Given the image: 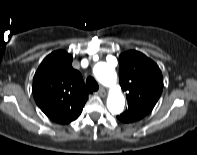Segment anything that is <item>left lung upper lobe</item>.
<instances>
[{
  "label": "left lung upper lobe",
  "mask_w": 197,
  "mask_h": 155,
  "mask_svg": "<svg viewBox=\"0 0 197 155\" xmlns=\"http://www.w3.org/2000/svg\"><path fill=\"white\" fill-rule=\"evenodd\" d=\"M119 82L127 93L128 108L118 119L126 123L150 113L163 89V77L157 64L134 50L119 56Z\"/></svg>",
  "instance_id": "1"
}]
</instances>
